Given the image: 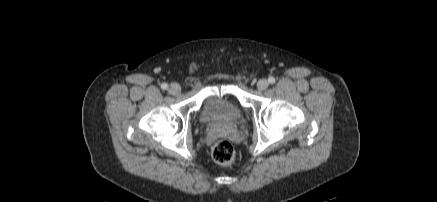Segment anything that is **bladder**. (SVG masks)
I'll return each instance as SVG.
<instances>
[{"instance_id": "bladder-1", "label": "bladder", "mask_w": 437, "mask_h": 202, "mask_svg": "<svg viewBox=\"0 0 437 202\" xmlns=\"http://www.w3.org/2000/svg\"><path fill=\"white\" fill-rule=\"evenodd\" d=\"M242 117L240 106L226 98L210 97L202 108L201 119L204 123H232Z\"/></svg>"}]
</instances>
